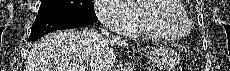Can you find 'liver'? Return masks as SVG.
<instances>
[{
	"instance_id": "obj_1",
	"label": "liver",
	"mask_w": 230,
	"mask_h": 71,
	"mask_svg": "<svg viewBox=\"0 0 230 71\" xmlns=\"http://www.w3.org/2000/svg\"><path fill=\"white\" fill-rule=\"evenodd\" d=\"M126 40L105 38L91 30H64L48 34L33 45L26 71H110L116 62L113 45Z\"/></svg>"
}]
</instances>
